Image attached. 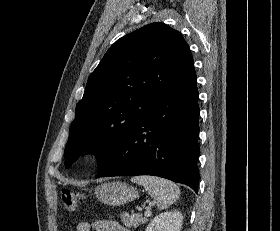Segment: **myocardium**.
<instances>
[{"label":"myocardium","mask_w":280,"mask_h":231,"mask_svg":"<svg viewBox=\"0 0 280 231\" xmlns=\"http://www.w3.org/2000/svg\"><path fill=\"white\" fill-rule=\"evenodd\" d=\"M111 146L102 141L87 145L81 153V161L88 167L95 166L103 161L110 153Z\"/></svg>","instance_id":"myocardium-1"}]
</instances>
